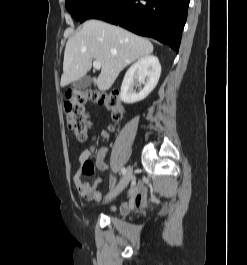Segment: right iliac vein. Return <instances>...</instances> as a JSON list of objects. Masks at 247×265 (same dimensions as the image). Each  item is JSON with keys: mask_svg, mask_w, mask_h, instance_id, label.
<instances>
[{"mask_svg": "<svg viewBox=\"0 0 247 265\" xmlns=\"http://www.w3.org/2000/svg\"><path fill=\"white\" fill-rule=\"evenodd\" d=\"M132 176H133L132 168L130 166H128L127 171H126V174H125L122 182L120 183L119 187L116 190L110 192L105 197V201L112 200L117 195H119L128 186L130 180L132 179Z\"/></svg>", "mask_w": 247, "mask_h": 265, "instance_id": "1", "label": "right iliac vein"}]
</instances>
